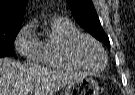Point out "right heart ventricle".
Returning a JSON list of instances; mask_svg holds the SVG:
<instances>
[{"instance_id": "e07e8e85", "label": "right heart ventricle", "mask_w": 135, "mask_h": 95, "mask_svg": "<svg viewBox=\"0 0 135 95\" xmlns=\"http://www.w3.org/2000/svg\"><path fill=\"white\" fill-rule=\"evenodd\" d=\"M79 33L77 27L65 18H56L47 25V34L41 41V63L50 68L77 69L63 56L66 41Z\"/></svg>"}]
</instances>
